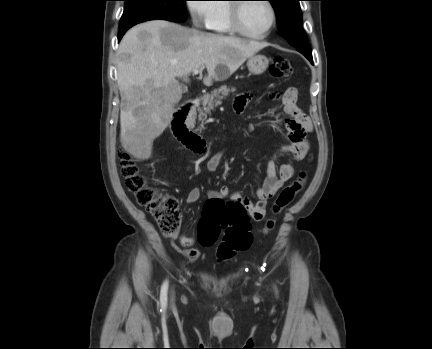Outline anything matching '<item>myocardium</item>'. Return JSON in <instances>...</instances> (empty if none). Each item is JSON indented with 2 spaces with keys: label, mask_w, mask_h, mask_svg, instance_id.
<instances>
[{
  "label": "myocardium",
  "mask_w": 432,
  "mask_h": 349,
  "mask_svg": "<svg viewBox=\"0 0 432 349\" xmlns=\"http://www.w3.org/2000/svg\"><path fill=\"white\" fill-rule=\"evenodd\" d=\"M236 1H246V0H236ZM262 2L266 3V5L269 7L271 12V23L267 30L261 34H253L248 32L246 29H244L242 22H241V9L246 4V2H235L230 4L229 6V20L232 30L244 37L250 38V39H264L270 35V33L273 31L274 27L277 23V12L274 4L270 0H262Z\"/></svg>",
  "instance_id": "myocardium-1"
}]
</instances>
